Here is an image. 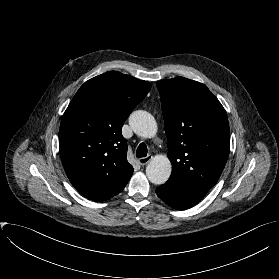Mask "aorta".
Segmentation results:
<instances>
[{
	"instance_id": "obj_1",
	"label": "aorta",
	"mask_w": 279,
	"mask_h": 279,
	"mask_svg": "<svg viewBox=\"0 0 279 279\" xmlns=\"http://www.w3.org/2000/svg\"><path fill=\"white\" fill-rule=\"evenodd\" d=\"M129 124L133 131L144 138H152L157 132L155 118L147 111L138 110L129 118ZM172 165L164 155H158L151 159L146 167V175L149 181L156 185L164 184L170 177Z\"/></svg>"
}]
</instances>
